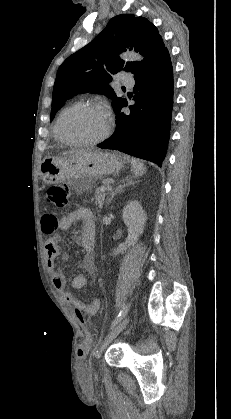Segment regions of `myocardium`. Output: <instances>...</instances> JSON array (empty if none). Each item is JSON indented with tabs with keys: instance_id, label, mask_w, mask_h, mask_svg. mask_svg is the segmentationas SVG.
<instances>
[{
	"instance_id": "f54148a6",
	"label": "myocardium",
	"mask_w": 231,
	"mask_h": 419,
	"mask_svg": "<svg viewBox=\"0 0 231 419\" xmlns=\"http://www.w3.org/2000/svg\"><path fill=\"white\" fill-rule=\"evenodd\" d=\"M80 109L98 110V111H101L105 115V117L107 119V125H106V128H105L104 132L101 135H99L98 137L93 138V139L84 140V139L72 138L64 132V130H63L64 119L70 113H72L74 111H77V110H80ZM57 127H58V132H59L60 136L62 137V139L65 140L69 144H73V145H95V144H98V143L104 141L109 136V134L111 132V129H112V120H111L109 112L107 111V109L104 106H102L100 104H97V103H88V102L87 103H78V104H75V105L69 107L67 110H65L62 113V115L60 116V118L58 120Z\"/></svg>"
}]
</instances>
